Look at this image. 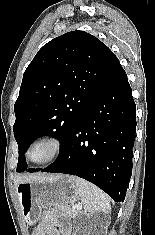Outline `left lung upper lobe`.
<instances>
[{"mask_svg": "<svg viewBox=\"0 0 155 235\" xmlns=\"http://www.w3.org/2000/svg\"><path fill=\"white\" fill-rule=\"evenodd\" d=\"M119 63L99 39L83 31L65 33L36 54L24 72L14 105L17 172L27 169L25 152L40 136L59 139L60 150L86 108Z\"/></svg>", "mask_w": 155, "mask_h": 235, "instance_id": "5c2ea615", "label": "left lung upper lobe"}]
</instances>
